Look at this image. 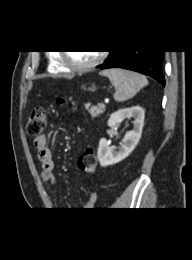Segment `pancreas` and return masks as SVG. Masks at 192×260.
Segmentation results:
<instances>
[{
    "mask_svg": "<svg viewBox=\"0 0 192 260\" xmlns=\"http://www.w3.org/2000/svg\"><path fill=\"white\" fill-rule=\"evenodd\" d=\"M85 109L90 113L92 118L99 116L105 111V107H102L100 105L94 106L91 105L90 103L85 104Z\"/></svg>",
    "mask_w": 192,
    "mask_h": 260,
    "instance_id": "1",
    "label": "pancreas"
}]
</instances>
